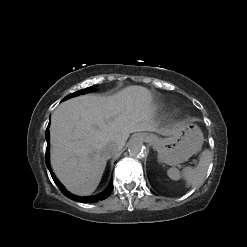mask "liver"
<instances>
[{"label": "liver", "instance_id": "6515ba94", "mask_svg": "<svg viewBox=\"0 0 247 247\" xmlns=\"http://www.w3.org/2000/svg\"><path fill=\"white\" fill-rule=\"evenodd\" d=\"M154 112L150 90L138 85L107 97L86 94L61 103L50 125V160L55 175L70 192L92 194L112 156L104 150L108 143L122 149L133 132L170 135L174 131L159 129Z\"/></svg>", "mask_w": 247, "mask_h": 247}]
</instances>
